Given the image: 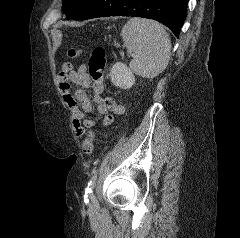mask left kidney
<instances>
[{
    "label": "left kidney",
    "instance_id": "obj_1",
    "mask_svg": "<svg viewBox=\"0 0 240 238\" xmlns=\"http://www.w3.org/2000/svg\"><path fill=\"white\" fill-rule=\"evenodd\" d=\"M111 82L122 89H129L135 83V77L126 64L117 62L112 66L110 72Z\"/></svg>",
    "mask_w": 240,
    "mask_h": 238
}]
</instances>
